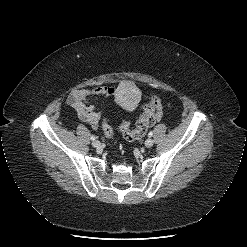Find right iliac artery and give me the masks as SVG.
I'll return each mask as SVG.
<instances>
[{"label": "right iliac artery", "mask_w": 247, "mask_h": 247, "mask_svg": "<svg viewBox=\"0 0 247 247\" xmlns=\"http://www.w3.org/2000/svg\"><path fill=\"white\" fill-rule=\"evenodd\" d=\"M95 139H96L95 136L92 135L91 140L94 141Z\"/></svg>", "instance_id": "right-iliac-artery-1"}]
</instances>
